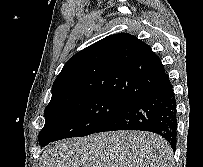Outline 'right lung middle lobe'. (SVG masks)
<instances>
[{
  "label": "right lung middle lobe",
  "mask_w": 203,
  "mask_h": 167,
  "mask_svg": "<svg viewBox=\"0 0 203 167\" xmlns=\"http://www.w3.org/2000/svg\"><path fill=\"white\" fill-rule=\"evenodd\" d=\"M129 103L116 97L93 95L47 108L39 142L44 147L52 141L96 133Z\"/></svg>",
  "instance_id": "right-lung-middle-lobe-1"
}]
</instances>
